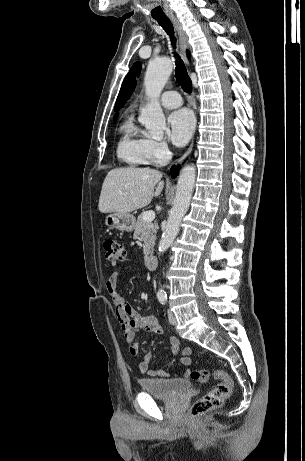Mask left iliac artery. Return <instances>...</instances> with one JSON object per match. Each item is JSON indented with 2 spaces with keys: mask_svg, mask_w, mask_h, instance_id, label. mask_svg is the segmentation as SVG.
Listing matches in <instances>:
<instances>
[{
  "mask_svg": "<svg viewBox=\"0 0 305 461\" xmlns=\"http://www.w3.org/2000/svg\"><path fill=\"white\" fill-rule=\"evenodd\" d=\"M159 301L164 304L167 300V295H158Z\"/></svg>",
  "mask_w": 305,
  "mask_h": 461,
  "instance_id": "left-iliac-artery-1",
  "label": "left iliac artery"
}]
</instances>
